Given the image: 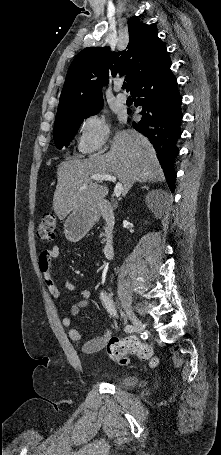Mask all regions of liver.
Returning <instances> with one entry per match:
<instances>
[{
    "instance_id": "liver-1",
    "label": "liver",
    "mask_w": 221,
    "mask_h": 455,
    "mask_svg": "<svg viewBox=\"0 0 221 455\" xmlns=\"http://www.w3.org/2000/svg\"><path fill=\"white\" fill-rule=\"evenodd\" d=\"M93 174H111L123 185L127 194L135 182L163 181L164 175L148 139L135 130L118 131L111 149L89 159H72L60 163L53 209L60 220L72 210L100 202L108 194L104 185L90 178Z\"/></svg>"
}]
</instances>
